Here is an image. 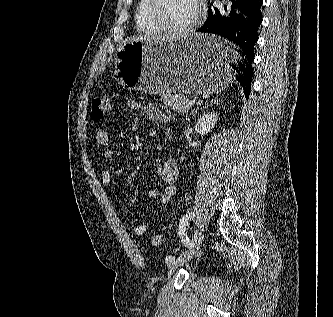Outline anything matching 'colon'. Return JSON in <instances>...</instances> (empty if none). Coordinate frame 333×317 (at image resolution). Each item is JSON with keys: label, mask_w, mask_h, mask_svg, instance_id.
Segmentation results:
<instances>
[{"label": "colon", "mask_w": 333, "mask_h": 317, "mask_svg": "<svg viewBox=\"0 0 333 317\" xmlns=\"http://www.w3.org/2000/svg\"><path fill=\"white\" fill-rule=\"evenodd\" d=\"M110 99L105 96L96 97L92 101L91 120L94 123H98L104 119L110 109ZM161 237L155 235L152 237L151 243L153 246H159L161 244Z\"/></svg>", "instance_id": "5ec220e1"}]
</instances>
